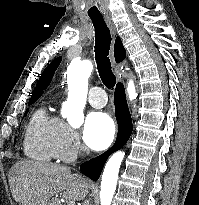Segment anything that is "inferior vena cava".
<instances>
[{"label":"inferior vena cava","mask_w":199,"mask_h":205,"mask_svg":"<svg viewBox=\"0 0 199 205\" xmlns=\"http://www.w3.org/2000/svg\"><path fill=\"white\" fill-rule=\"evenodd\" d=\"M80 151L85 152V151H86V147L82 145V146L80 147ZM84 205H90L89 201L86 200V201L84 202Z\"/></svg>","instance_id":"1"}]
</instances>
